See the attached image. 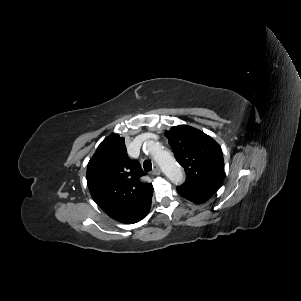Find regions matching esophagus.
Returning <instances> with one entry per match:
<instances>
[{"mask_svg": "<svg viewBox=\"0 0 301 301\" xmlns=\"http://www.w3.org/2000/svg\"><path fill=\"white\" fill-rule=\"evenodd\" d=\"M152 173L154 175H159L161 173V169H160V167L157 164H154V168H153Z\"/></svg>", "mask_w": 301, "mask_h": 301, "instance_id": "obj_1", "label": "esophagus"}]
</instances>
